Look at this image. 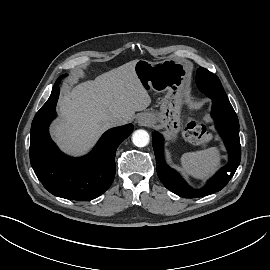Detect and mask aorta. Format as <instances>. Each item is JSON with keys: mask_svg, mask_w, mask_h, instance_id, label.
I'll list each match as a JSON object with an SVG mask.
<instances>
[{"mask_svg": "<svg viewBox=\"0 0 270 270\" xmlns=\"http://www.w3.org/2000/svg\"><path fill=\"white\" fill-rule=\"evenodd\" d=\"M149 134L145 130H136L132 135L133 144L137 147H145L149 144Z\"/></svg>", "mask_w": 270, "mask_h": 270, "instance_id": "aorta-1", "label": "aorta"}]
</instances>
